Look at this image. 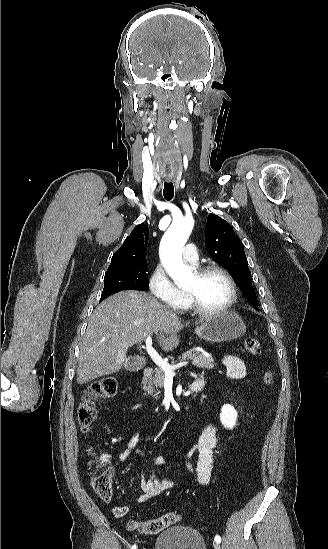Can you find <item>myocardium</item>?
<instances>
[{
    "label": "myocardium",
    "instance_id": "obj_1",
    "mask_svg": "<svg viewBox=\"0 0 328 549\" xmlns=\"http://www.w3.org/2000/svg\"><path fill=\"white\" fill-rule=\"evenodd\" d=\"M187 267L192 270V273L196 277H201L210 271H219L222 275L225 276L230 285L229 299L225 304L214 309H206L201 307V303L197 300L194 294L188 289L184 288L183 290L188 301L187 309H190L192 312L200 317H208L224 314L233 307L238 297V285L235 278L225 265L219 262L209 261L201 263H190L187 265Z\"/></svg>",
    "mask_w": 328,
    "mask_h": 549
}]
</instances>
